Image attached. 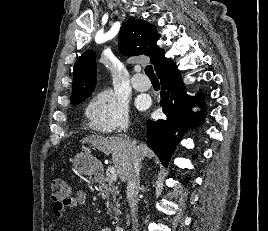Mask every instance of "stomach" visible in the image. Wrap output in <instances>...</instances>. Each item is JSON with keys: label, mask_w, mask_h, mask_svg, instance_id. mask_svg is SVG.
Listing matches in <instances>:
<instances>
[{"label": "stomach", "mask_w": 268, "mask_h": 231, "mask_svg": "<svg viewBox=\"0 0 268 231\" xmlns=\"http://www.w3.org/2000/svg\"><path fill=\"white\" fill-rule=\"evenodd\" d=\"M73 166L80 174L93 176L100 169L101 164L90 152L83 151L76 154Z\"/></svg>", "instance_id": "0dacf381"}]
</instances>
